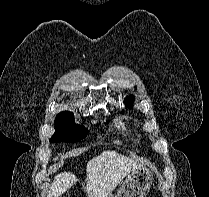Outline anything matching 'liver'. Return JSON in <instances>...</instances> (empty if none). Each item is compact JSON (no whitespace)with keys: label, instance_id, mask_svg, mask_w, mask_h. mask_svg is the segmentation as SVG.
<instances>
[{"label":"liver","instance_id":"6515ba94","mask_svg":"<svg viewBox=\"0 0 209 197\" xmlns=\"http://www.w3.org/2000/svg\"><path fill=\"white\" fill-rule=\"evenodd\" d=\"M141 162L119 154L114 150H105L89 160L86 167L87 197H108L116 186L132 171L142 167ZM79 181L71 172H62L54 177L47 197H58Z\"/></svg>","mask_w":209,"mask_h":197}]
</instances>
